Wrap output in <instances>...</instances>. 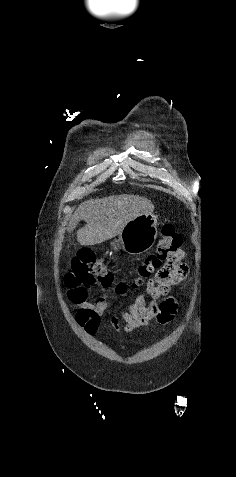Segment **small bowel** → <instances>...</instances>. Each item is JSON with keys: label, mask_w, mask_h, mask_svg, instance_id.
Masks as SVG:
<instances>
[{"label": "small bowel", "mask_w": 236, "mask_h": 477, "mask_svg": "<svg viewBox=\"0 0 236 477\" xmlns=\"http://www.w3.org/2000/svg\"><path fill=\"white\" fill-rule=\"evenodd\" d=\"M185 270L183 265L182 275L175 282L185 276ZM146 291L150 300H146L142 294L137 295L128 302L126 308L120 309L111 317L109 327L116 330L122 325L126 332H132L147 326L151 320H156L160 325L170 323L178 308V300L156 289L154 280L147 282ZM74 303L78 306L75 315L77 325L87 334L96 335L101 328V317L110 304L109 294L103 293L94 303L85 301Z\"/></svg>", "instance_id": "obj_1"}]
</instances>
